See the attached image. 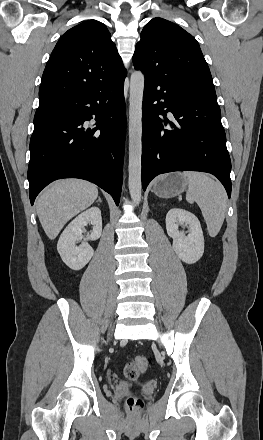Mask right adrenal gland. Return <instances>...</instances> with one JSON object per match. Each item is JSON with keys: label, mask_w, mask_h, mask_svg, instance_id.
Masks as SVG:
<instances>
[{"label": "right adrenal gland", "mask_w": 263, "mask_h": 440, "mask_svg": "<svg viewBox=\"0 0 263 440\" xmlns=\"http://www.w3.org/2000/svg\"><path fill=\"white\" fill-rule=\"evenodd\" d=\"M97 202H102V201H101V199L99 198V199L97 200Z\"/></svg>", "instance_id": "right-adrenal-gland-1"}]
</instances>
